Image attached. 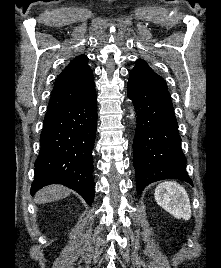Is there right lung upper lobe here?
<instances>
[{
    "label": "right lung upper lobe",
    "instance_id": "cb5924a9",
    "mask_svg": "<svg viewBox=\"0 0 221 268\" xmlns=\"http://www.w3.org/2000/svg\"><path fill=\"white\" fill-rule=\"evenodd\" d=\"M95 91L88 58L79 55L57 76L48 107H57L84 99Z\"/></svg>",
    "mask_w": 221,
    "mask_h": 268
}]
</instances>
